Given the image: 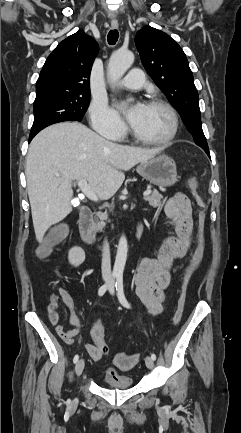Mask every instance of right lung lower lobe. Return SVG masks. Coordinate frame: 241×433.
Listing matches in <instances>:
<instances>
[{
  "mask_svg": "<svg viewBox=\"0 0 241 433\" xmlns=\"http://www.w3.org/2000/svg\"><path fill=\"white\" fill-rule=\"evenodd\" d=\"M36 134H34V135H30L29 136V142L32 140V138L35 136Z\"/></svg>",
  "mask_w": 241,
  "mask_h": 433,
  "instance_id": "98d812e1",
  "label": "right lung lower lobe"
}]
</instances>
